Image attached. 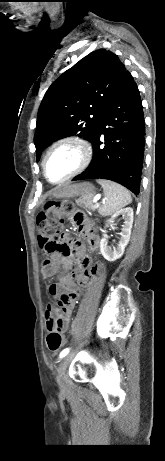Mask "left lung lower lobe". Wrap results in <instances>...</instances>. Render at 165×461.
<instances>
[{
  "mask_svg": "<svg viewBox=\"0 0 165 461\" xmlns=\"http://www.w3.org/2000/svg\"><path fill=\"white\" fill-rule=\"evenodd\" d=\"M144 136V113L139 90L127 71L91 140L93 160L73 180L109 179L139 194Z\"/></svg>",
  "mask_w": 165,
  "mask_h": 461,
  "instance_id": "1",
  "label": "left lung lower lobe"
}]
</instances>
